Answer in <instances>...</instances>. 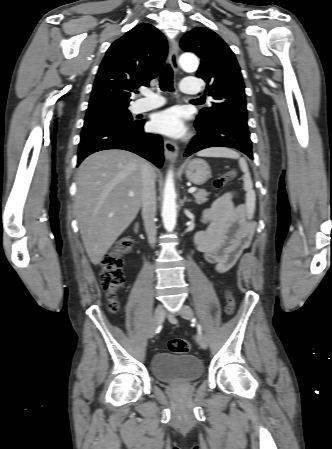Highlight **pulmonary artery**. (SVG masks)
Masks as SVG:
<instances>
[{
  "instance_id": "obj_1",
  "label": "pulmonary artery",
  "mask_w": 332,
  "mask_h": 449,
  "mask_svg": "<svg viewBox=\"0 0 332 449\" xmlns=\"http://www.w3.org/2000/svg\"><path fill=\"white\" fill-rule=\"evenodd\" d=\"M180 90L186 94L195 95L198 93V89L194 85V81L192 79L183 80L180 84ZM144 95L145 97L137 101L135 104L134 109L136 112L148 111L162 106L165 103V99L163 97L153 92L148 91L145 92Z\"/></svg>"
}]
</instances>
